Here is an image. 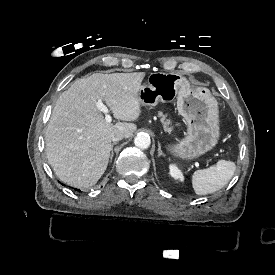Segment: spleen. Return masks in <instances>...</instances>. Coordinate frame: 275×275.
Returning a JSON list of instances; mask_svg holds the SVG:
<instances>
[{"instance_id": "1", "label": "spleen", "mask_w": 275, "mask_h": 275, "mask_svg": "<svg viewBox=\"0 0 275 275\" xmlns=\"http://www.w3.org/2000/svg\"><path fill=\"white\" fill-rule=\"evenodd\" d=\"M236 166L232 161L219 160L216 165L197 170L192 185L197 195H206L222 189L234 175Z\"/></svg>"}]
</instances>
